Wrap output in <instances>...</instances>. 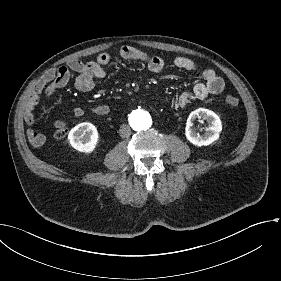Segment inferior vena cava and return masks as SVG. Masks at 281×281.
Masks as SVG:
<instances>
[{
	"mask_svg": "<svg viewBox=\"0 0 281 281\" xmlns=\"http://www.w3.org/2000/svg\"><path fill=\"white\" fill-rule=\"evenodd\" d=\"M119 134H120V136H121L122 138H127V137H129L130 134H131V129H130V127H129L128 125H125V124L121 125V126H120V129H119Z\"/></svg>",
	"mask_w": 281,
	"mask_h": 281,
	"instance_id": "1",
	"label": "inferior vena cava"
}]
</instances>
